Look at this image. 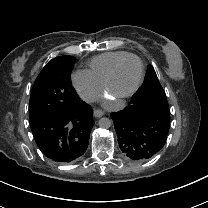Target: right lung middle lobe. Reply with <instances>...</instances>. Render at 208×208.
I'll list each match as a JSON object with an SVG mask.
<instances>
[{"instance_id":"obj_1","label":"right lung middle lobe","mask_w":208,"mask_h":208,"mask_svg":"<svg viewBox=\"0 0 208 208\" xmlns=\"http://www.w3.org/2000/svg\"><path fill=\"white\" fill-rule=\"evenodd\" d=\"M75 60L72 56H58L42 69L31 91L30 123L70 112L77 107L79 97L70 78Z\"/></svg>"}]
</instances>
